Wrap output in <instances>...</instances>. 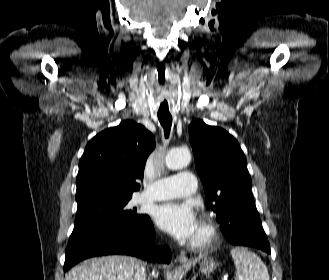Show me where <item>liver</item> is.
<instances>
[{"mask_svg": "<svg viewBox=\"0 0 329 280\" xmlns=\"http://www.w3.org/2000/svg\"><path fill=\"white\" fill-rule=\"evenodd\" d=\"M146 263L129 256H104L84 261L72 268L65 280H140ZM153 271L152 276L156 277Z\"/></svg>", "mask_w": 329, "mask_h": 280, "instance_id": "obj_1", "label": "liver"}]
</instances>
